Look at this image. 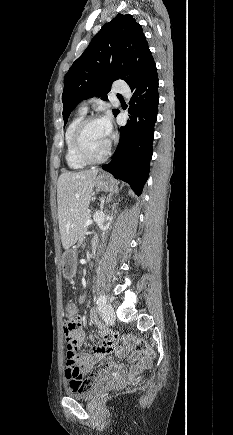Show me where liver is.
I'll return each mask as SVG.
<instances>
[{"instance_id":"liver-1","label":"liver","mask_w":233,"mask_h":435,"mask_svg":"<svg viewBox=\"0 0 233 435\" xmlns=\"http://www.w3.org/2000/svg\"><path fill=\"white\" fill-rule=\"evenodd\" d=\"M98 170L64 172L57 182L58 220L61 242L69 249L80 236Z\"/></svg>"}]
</instances>
